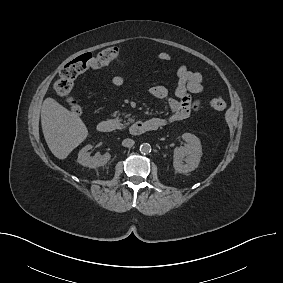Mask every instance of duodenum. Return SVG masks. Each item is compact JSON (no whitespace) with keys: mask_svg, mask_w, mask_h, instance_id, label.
Returning <instances> with one entry per match:
<instances>
[{"mask_svg":"<svg viewBox=\"0 0 283 283\" xmlns=\"http://www.w3.org/2000/svg\"><path fill=\"white\" fill-rule=\"evenodd\" d=\"M160 127V123L157 119H149L145 121H137L130 127V133L132 135H142L147 132L155 131ZM97 129L101 133H111L115 130V124L112 120H101Z\"/></svg>","mask_w":283,"mask_h":283,"instance_id":"1","label":"duodenum"}]
</instances>
